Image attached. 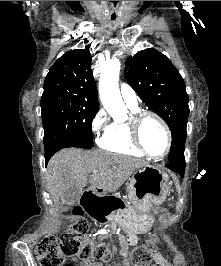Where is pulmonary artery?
I'll return each instance as SVG.
<instances>
[{
    "label": "pulmonary artery",
    "mask_w": 221,
    "mask_h": 266,
    "mask_svg": "<svg viewBox=\"0 0 221 266\" xmlns=\"http://www.w3.org/2000/svg\"><path fill=\"white\" fill-rule=\"evenodd\" d=\"M120 92L127 106H129L130 108H138L136 93L130 85L126 83L121 84Z\"/></svg>",
    "instance_id": "1"
}]
</instances>
